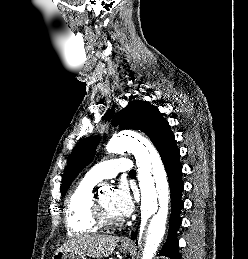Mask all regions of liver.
<instances>
[{
	"label": "liver",
	"instance_id": "6515ba94",
	"mask_svg": "<svg viewBox=\"0 0 248 259\" xmlns=\"http://www.w3.org/2000/svg\"><path fill=\"white\" fill-rule=\"evenodd\" d=\"M119 239V237L111 235L73 238L64 243L56 252L73 251L77 254L101 259L113 253Z\"/></svg>",
	"mask_w": 248,
	"mask_h": 259
}]
</instances>
